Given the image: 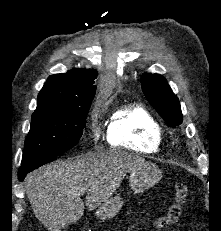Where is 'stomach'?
I'll return each instance as SVG.
<instances>
[{"label":"stomach","mask_w":221,"mask_h":231,"mask_svg":"<svg viewBox=\"0 0 221 231\" xmlns=\"http://www.w3.org/2000/svg\"><path fill=\"white\" fill-rule=\"evenodd\" d=\"M161 177V170L155 164L144 162L131 170L129 183L136 193H140L156 185ZM123 204L122 197L116 195L105 201L96 210L95 215L101 220L111 219L120 211Z\"/></svg>","instance_id":"obj_1"}]
</instances>
